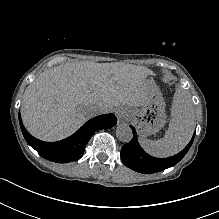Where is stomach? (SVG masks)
<instances>
[{"label":"stomach","instance_id":"0dacf381","mask_svg":"<svg viewBox=\"0 0 219 219\" xmlns=\"http://www.w3.org/2000/svg\"><path fill=\"white\" fill-rule=\"evenodd\" d=\"M148 97L138 107L129 108L128 115L141 137L158 132L166 122L165 102L154 81H147Z\"/></svg>","mask_w":219,"mask_h":219}]
</instances>
